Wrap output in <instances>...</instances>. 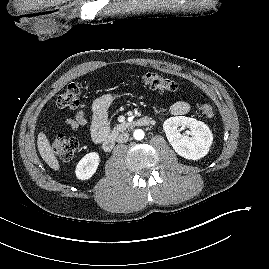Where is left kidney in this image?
Returning a JSON list of instances; mask_svg holds the SVG:
<instances>
[{
  "instance_id": "left-kidney-1",
  "label": "left kidney",
  "mask_w": 269,
  "mask_h": 269,
  "mask_svg": "<svg viewBox=\"0 0 269 269\" xmlns=\"http://www.w3.org/2000/svg\"><path fill=\"white\" fill-rule=\"evenodd\" d=\"M179 127L189 128L191 131L188 135H182ZM163 129L175 152L188 160H198L206 156L213 142L209 127L194 118L170 117L164 122Z\"/></svg>"
}]
</instances>
